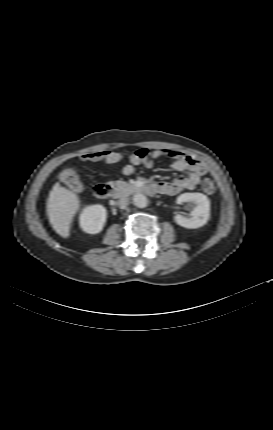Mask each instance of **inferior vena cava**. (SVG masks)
<instances>
[{"mask_svg": "<svg viewBox=\"0 0 273 430\" xmlns=\"http://www.w3.org/2000/svg\"><path fill=\"white\" fill-rule=\"evenodd\" d=\"M128 203H129V201H128V199H127L126 197H121V198L118 200V205H119V207H120L121 209H125V208H126V206L128 205Z\"/></svg>", "mask_w": 273, "mask_h": 430, "instance_id": "obj_1", "label": "inferior vena cava"}]
</instances>
